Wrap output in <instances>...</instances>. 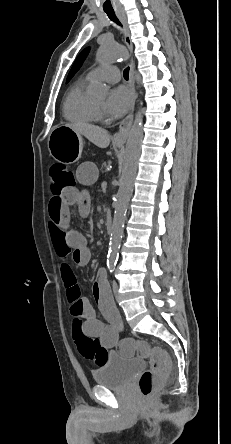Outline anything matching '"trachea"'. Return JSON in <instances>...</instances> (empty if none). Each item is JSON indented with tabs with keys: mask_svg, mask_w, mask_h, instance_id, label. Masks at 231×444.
I'll use <instances>...</instances> for the list:
<instances>
[{
	"mask_svg": "<svg viewBox=\"0 0 231 444\" xmlns=\"http://www.w3.org/2000/svg\"><path fill=\"white\" fill-rule=\"evenodd\" d=\"M105 12L108 15V17L110 18V20H112L113 22H115L118 25H121V23L117 19V17H116V15H115L113 10H105ZM123 76H124V78L126 80H128V77H129V67L124 70Z\"/></svg>",
	"mask_w": 231,
	"mask_h": 444,
	"instance_id": "1",
	"label": "trachea"
}]
</instances>
